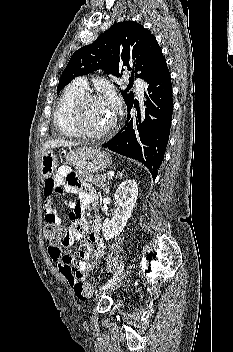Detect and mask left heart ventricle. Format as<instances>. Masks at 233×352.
I'll return each mask as SVG.
<instances>
[{"label": "left heart ventricle", "mask_w": 233, "mask_h": 352, "mask_svg": "<svg viewBox=\"0 0 233 352\" xmlns=\"http://www.w3.org/2000/svg\"><path fill=\"white\" fill-rule=\"evenodd\" d=\"M114 118V113L107 107L104 100L88 102L83 109L82 123L90 131L106 129Z\"/></svg>", "instance_id": "b2bd125f"}]
</instances>
